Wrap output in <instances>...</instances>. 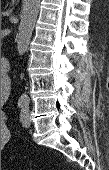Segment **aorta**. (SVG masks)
Instances as JSON below:
<instances>
[{
  "mask_svg": "<svg viewBox=\"0 0 109 170\" xmlns=\"http://www.w3.org/2000/svg\"><path fill=\"white\" fill-rule=\"evenodd\" d=\"M40 0H25L17 37V51L22 56L28 49L35 22L39 13ZM20 101L29 102L27 94H22Z\"/></svg>",
  "mask_w": 109,
  "mask_h": 170,
  "instance_id": "obj_1",
  "label": "aorta"
}]
</instances>
